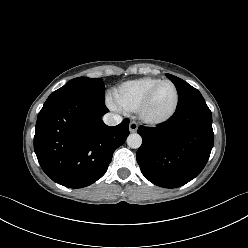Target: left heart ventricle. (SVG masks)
<instances>
[{"instance_id": "left-heart-ventricle-1", "label": "left heart ventricle", "mask_w": 248, "mask_h": 248, "mask_svg": "<svg viewBox=\"0 0 248 248\" xmlns=\"http://www.w3.org/2000/svg\"><path fill=\"white\" fill-rule=\"evenodd\" d=\"M174 98L175 93L173 87L169 84L161 85L156 90L147 106V115L155 118L164 116L171 110Z\"/></svg>"}]
</instances>
